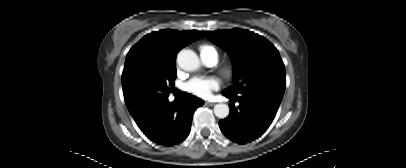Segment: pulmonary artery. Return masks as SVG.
I'll return each mask as SVG.
<instances>
[{"label":"pulmonary artery","instance_id":"obj_1","mask_svg":"<svg viewBox=\"0 0 406 168\" xmlns=\"http://www.w3.org/2000/svg\"><path fill=\"white\" fill-rule=\"evenodd\" d=\"M201 58L207 66H214L217 63V60H216L215 56H213V55L201 56Z\"/></svg>","mask_w":406,"mask_h":168}]
</instances>
